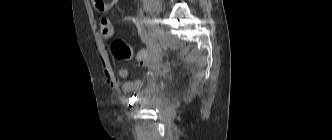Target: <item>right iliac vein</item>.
<instances>
[{"label": "right iliac vein", "instance_id": "63e3f726", "mask_svg": "<svg viewBox=\"0 0 332 140\" xmlns=\"http://www.w3.org/2000/svg\"><path fill=\"white\" fill-rule=\"evenodd\" d=\"M157 24H158V19L153 17L152 19V23H151V26H150V29H149V32H150V35L153 36L156 31H157Z\"/></svg>", "mask_w": 332, "mask_h": 140}]
</instances>
